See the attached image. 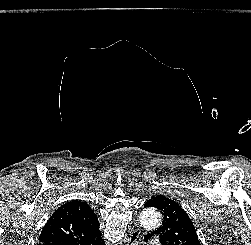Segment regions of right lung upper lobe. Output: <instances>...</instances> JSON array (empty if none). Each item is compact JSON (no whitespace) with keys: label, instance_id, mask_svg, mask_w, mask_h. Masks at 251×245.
<instances>
[{"label":"right lung upper lobe","instance_id":"right-lung-upper-lobe-1","mask_svg":"<svg viewBox=\"0 0 251 245\" xmlns=\"http://www.w3.org/2000/svg\"><path fill=\"white\" fill-rule=\"evenodd\" d=\"M98 218L86 202L73 200L59 207L45 224L38 245H77L100 236Z\"/></svg>","mask_w":251,"mask_h":245}]
</instances>
